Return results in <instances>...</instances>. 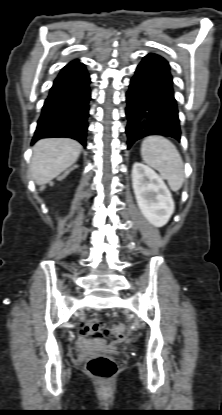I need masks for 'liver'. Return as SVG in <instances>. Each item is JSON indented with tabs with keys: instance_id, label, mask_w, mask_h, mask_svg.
I'll use <instances>...</instances> for the list:
<instances>
[{
	"instance_id": "obj_1",
	"label": "liver",
	"mask_w": 222,
	"mask_h": 415,
	"mask_svg": "<svg viewBox=\"0 0 222 415\" xmlns=\"http://www.w3.org/2000/svg\"><path fill=\"white\" fill-rule=\"evenodd\" d=\"M82 151L79 142L68 138H46L33 146L30 172L36 184L49 183L72 166Z\"/></svg>"
}]
</instances>
